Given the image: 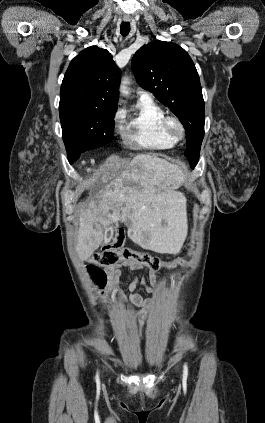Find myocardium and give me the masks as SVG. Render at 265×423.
Masks as SVG:
<instances>
[{"instance_id": "myocardium-1", "label": "myocardium", "mask_w": 265, "mask_h": 423, "mask_svg": "<svg viewBox=\"0 0 265 423\" xmlns=\"http://www.w3.org/2000/svg\"><path fill=\"white\" fill-rule=\"evenodd\" d=\"M162 128L166 135L176 142L184 139L186 135L184 123L176 116H165L162 120Z\"/></svg>"}]
</instances>
